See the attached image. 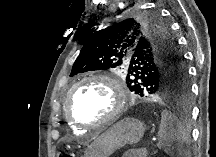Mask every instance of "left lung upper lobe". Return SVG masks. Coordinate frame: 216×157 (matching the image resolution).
I'll use <instances>...</instances> for the list:
<instances>
[{"label":"left lung upper lobe","mask_w":216,"mask_h":157,"mask_svg":"<svg viewBox=\"0 0 216 157\" xmlns=\"http://www.w3.org/2000/svg\"><path fill=\"white\" fill-rule=\"evenodd\" d=\"M70 76L77 73L127 69L130 91L141 97L190 93L184 57L159 10H138L105 29L90 32L83 40Z\"/></svg>","instance_id":"obj_1"}]
</instances>
